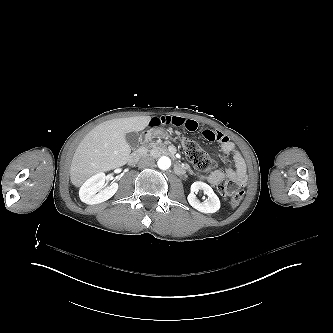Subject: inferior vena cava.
<instances>
[{"label": "inferior vena cava", "mask_w": 333, "mask_h": 333, "mask_svg": "<svg viewBox=\"0 0 333 333\" xmlns=\"http://www.w3.org/2000/svg\"><path fill=\"white\" fill-rule=\"evenodd\" d=\"M154 164H155L154 158L149 156L142 157L138 162V166L141 168L154 166Z\"/></svg>", "instance_id": "inferior-vena-cava-1"}]
</instances>
